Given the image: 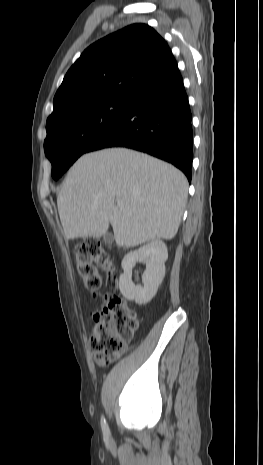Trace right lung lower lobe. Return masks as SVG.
<instances>
[{
    "label": "right lung lower lobe",
    "mask_w": 263,
    "mask_h": 465,
    "mask_svg": "<svg viewBox=\"0 0 263 465\" xmlns=\"http://www.w3.org/2000/svg\"><path fill=\"white\" fill-rule=\"evenodd\" d=\"M192 115L178 68L136 92L127 113L90 151L127 147L168 161L191 181Z\"/></svg>",
    "instance_id": "1"
}]
</instances>
